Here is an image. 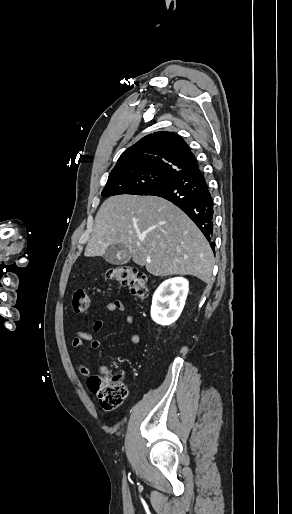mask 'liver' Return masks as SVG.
<instances>
[{"mask_svg":"<svg viewBox=\"0 0 292 514\" xmlns=\"http://www.w3.org/2000/svg\"><path fill=\"white\" fill-rule=\"evenodd\" d=\"M122 244L153 276H196L211 282L214 254L202 232L177 206L158 196H111L95 218L84 256H104Z\"/></svg>","mask_w":292,"mask_h":514,"instance_id":"1","label":"liver"}]
</instances>
